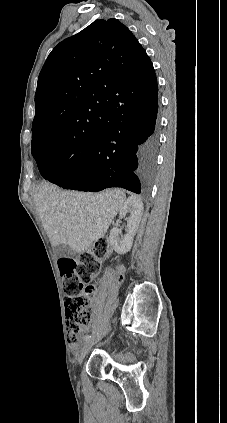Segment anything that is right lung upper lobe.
<instances>
[{
	"instance_id": "obj_1",
	"label": "right lung upper lobe",
	"mask_w": 227,
	"mask_h": 423,
	"mask_svg": "<svg viewBox=\"0 0 227 423\" xmlns=\"http://www.w3.org/2000/svg\"><path fill=\"white\" fill-rule=\"evenodd\" d=\"M156 90L153 65L132 32L117 19L96 20L49 54L38 78L32 142L94 143L113 124L112 105Z\"/></svg>"
}]
</instances>
